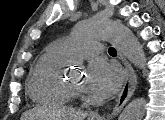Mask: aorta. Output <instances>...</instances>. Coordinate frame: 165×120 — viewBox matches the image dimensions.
<instances>
[{
	"label": "aorta",
	"instance_id": "762f6f07",
	"mask_svg": "<svg viewBox=\"0 0 165 120\" xmlns=\"http://www.w3.org/2000/svg\"><path fill=\"white\" fill-rule=\"evenodd\" d=\"M77 33L91 38L111 40L134 66L140 69L145 68L146 57L142 45L124 24L94 17L80 22L77 25ZM145 105L144 98L131 101L121 113L119 120H142Z\"/></svg>",
	"mask_w": 165,
	"mask_h": 120
}]
</instances>
